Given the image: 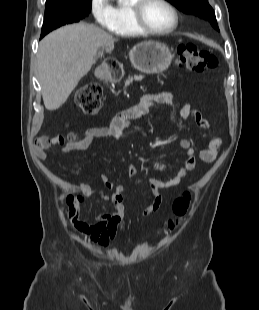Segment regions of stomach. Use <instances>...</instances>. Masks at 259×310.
Wrapping results in <instances>:
<instances>
[{
	"mask_svg": "<svg viewBox=\"0 0 259 310\" xmlns=\"http://www.w3.org/2000/svg\"><path fill=\"white\" fill-rule=\"evenodd\" d=\"M173 56L169 47L155 41L139 43L129 53L132 65L147 74L165 71L171 64Z\"/></svg>",
	"mask_w": 259,
	"mask_h": 310,
	"instance_id": "1",
	"label": "stomach"
}]
</instances>
